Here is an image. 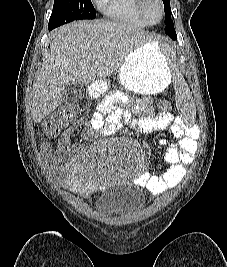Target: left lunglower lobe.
<instances>
[{
    "mask_svg": "<svg viewBox=\"0 0 227 267\" xmlns=\"http://www.w3.org/2000/svg\"><path fill=\"white\" fill-rule=\"evenodd\" d=\"M165 32L173 40H176L177 39V35H176L175 29H174V25H168V26H166Z\"/></svg>",
    "mask_w": 227,
    "mask_h": 267,
    "instance_id": "0a47b994",
    "label": "left lung lower lobe"
}]
</instances>
